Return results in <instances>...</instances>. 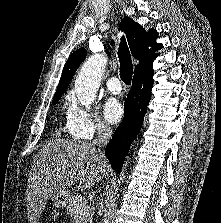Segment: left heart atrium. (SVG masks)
Returning a JSON list of instances; mask_svg holds the SVG:
<instances>
[{
    "mask_svg": "<svg viewBox=\"0 0 221 223\" xmlns=\"http://www.w3.org/2000/svg\"><path fill=\"white\" fill-rule=\"evenodd\" d=\"M103 111L105 119L112 124L120 122L124 116L122 105L114 98H110L105 102Z\"/></svg>",
    "mask_w": 221,
    "mask_h": 223,
    "instance_id": "obj_1",
    "label": "left heart atrium"
}]
</instances>
